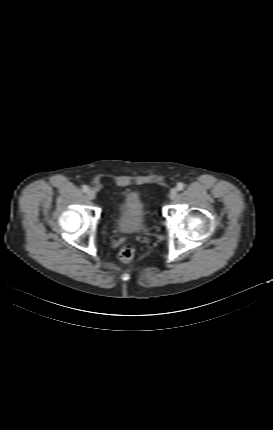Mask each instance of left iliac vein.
Instances as JSON below:
<instances>
[{
    "mask_svg": "<svg viewBox=\"0 0 273 430\" xmlns=\"http://www.w3.org/2000/svg\"><path fill=\"white\" fill-rule=\"evenodd\" d=\"M176 196H177V189H175V188L171 189L170 193H169V198L171 200H174L176 198Z\"/></svg>",
    "mask_w": 273,
    "mask_h": 430,
    "instance_id": "obj_1",
    "label": "left iliac vein"
}]
</instances>
